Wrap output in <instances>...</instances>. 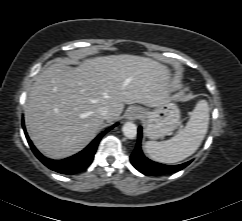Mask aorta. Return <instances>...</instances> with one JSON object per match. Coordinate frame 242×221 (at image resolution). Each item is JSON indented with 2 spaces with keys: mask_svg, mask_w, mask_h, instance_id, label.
<instances>
[{
  "mask_svg": "<svg viewBox=\"0 0 242 221\" xmlns=\"http://www.w3.org/2000/svg\"><path fill=\"white\" fill-rule=\"evenodd\" d=\"M122 131L124 136L129 139H134L137 136V126L132 122H126L122 127Z\"/></svg>",
  "mask_w": 242,
  "mask_h": 221,
  "instance_id": "1",
  "label": "aorta"
}]
</instances>
